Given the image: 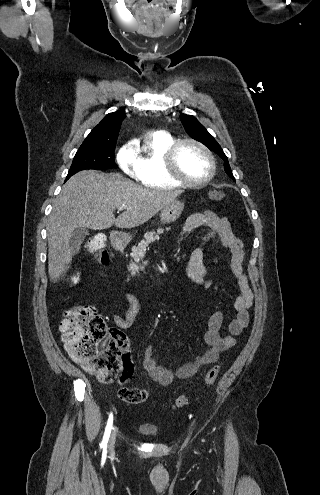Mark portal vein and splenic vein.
Returning a JSON list of instances; mask_svg holds the SVG:
<instances>
[{
    "label": "portal vein and splenic vein",
    "mask_w": 320,
    "mask_h": 495,
    "mask_svg": "<svg viewBox=\"0 0 320 495\" xmlns=\"http://www.w3.org/2000/svg\"><path fill=\"white\" fill-rule=\"evenodd\" d=\"M123 209H125V206L118 207V211H122Z\"/></svg>",
    "instance_id": "obj_1"
}]
</instances>
